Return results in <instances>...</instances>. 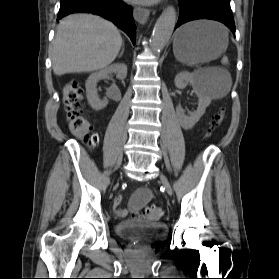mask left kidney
Returning <instances> with one entry per match:
<instances>
[{
	"label": "left kidney",
	"instance_id": "1",
	"mask_svg": "<svg viewBox=\"0 0 279 279\" xmlns=\"http://www.w3.org/2000/svg\"><path fill=\"white\" fill-rule=\"evenodd\" d=\"M202 82V75H198L197 73H189L187 71L180 72L175 77L174 83L177 88L183 89L190 83L194 89L196 96L198 97V107L189 116L185 115L181 107L176 108L177 117L179 119L181 127L184 130L192 129L211 103L212 99L202 90Z\"/></svg>",
	"mask_w": 279,
	"mask_h": 279
}]
</instances>
